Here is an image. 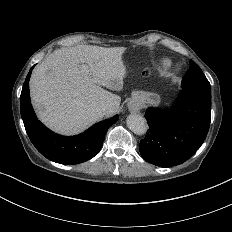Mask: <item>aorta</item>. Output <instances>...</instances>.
Here are the masks:
<instances>
[{
    "label": "aorta",
    "instance_id": "1",
    "mask_svg": "<svg viewBox=\"0 0 232 232\" xmlns=\"http://www.w3.org/2000/svg\"><path fill=\"white\" fill-rule=\"evenodd\" d=\"M128 128L136 135H143L147 131V124L145 119L138 114H131L127 117Z\"/></svg>",
    "mask_w": 232,
    "mask_h": 232
}]
</instances>
